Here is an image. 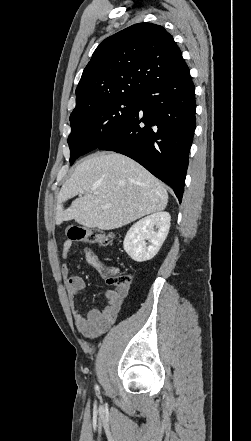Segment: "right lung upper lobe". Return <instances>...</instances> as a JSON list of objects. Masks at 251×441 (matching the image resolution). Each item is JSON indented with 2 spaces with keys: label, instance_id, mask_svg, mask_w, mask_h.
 I'll return each instance as SVG.
<instances>
[{
  "label": "right lung upper lobe",
  "instance_id": "cb5924a9",
  "mask_svg": "<svg viewBox=\"0 0 251 441\" xmlns=\"http://www.w3.org/2000/svg\"><path fill=\"white\" fill-rule=\"evenodd\" d=\"M186 66L173 37L162 26L134 24L96 48L76 88L72 114L100 99L141 95Z\"/></svg>",
  "mask_w": 251,
  "mask_h": 441
}]
</instances>
